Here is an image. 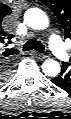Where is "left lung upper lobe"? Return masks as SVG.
I'll return each mask as SVG.
<instances>
[{
  "label": "left lung upper lobe",
  "mask_w": 71,
  "mask_h": 119,
  "mask_svg": "<svg viewBox=\"0 0 71 119\" xmlns=\"http://www.w3.org/2000/svg\"><path fill=\"white\" fill-rule=\"evenodd\" d=\"M58 17L65 29V37L71 38V0H41Z\"/></svg>",
  "instance_id": "1"
}]
</instances>
